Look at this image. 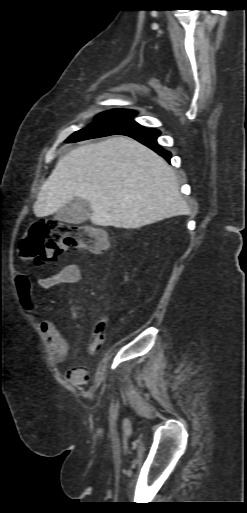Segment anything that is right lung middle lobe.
Wrapping results in <instances>:
<instances>
[{
  "label": "right lung middle lobe",
  "instance_id": "1",
  "mask_svg": "<svg viewBox=\"0 0 247 513\" xmlns=\"http://www.w3.org/2000/svg\"><path fill=\"white\" fill-rule=\"evenodd\" d=\"M134 115H136V112L130 110H110L101 113L96 116L99 122L75 132L65 142H77L118 134L129 127L138 125L133 119Z\"/></svg>",
  "mask_w": 247,
  "mask_h": 513
}]
</instances>
